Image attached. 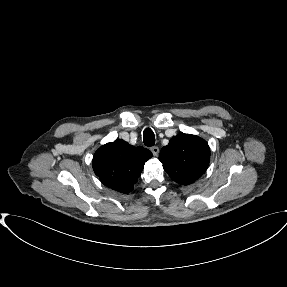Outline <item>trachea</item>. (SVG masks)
I'll return each mask as SVG.
<instances>
[{"mask_svg":"<svg viewBox=\"0 0 287 287\" xmlns=\"http://www.w3.org/2000/svg\"><path fill=\"white\" fill-rule=\"evenodd\" d=\"M143 142L146 146H153L155 144V135L150 128H146L143 132Z\"/></svg>","mask_w":287,"mask_h":287,"instance_id":"1","label":"trachea"}]
</instances>
